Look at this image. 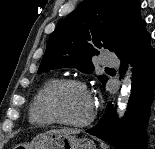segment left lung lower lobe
I'll return each instance as SVG.
<instances>
[{"label": "left lung lower lobe", "mask_w": 155, "mask_h": 149, "mask_svg": "<svg viewBox=\"0 0 155 149\" xmlns=\"http://www.w3.org/2000/svg\"><path fill=\"white\" fill-rule=\"evenodd\" d=\"M120 58V74L130 62L132 87L127 112L121 121L115 116L112 104L96 126L86 132L95 135L115 149H146V124L155 87V49L150 45V34L143 23L135 35L116 52Z\"/></svg>", "instance_id": "obj_1"}]
</instances>
